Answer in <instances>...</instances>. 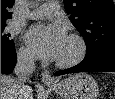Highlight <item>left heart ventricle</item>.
<instances>
[{
	"mask_svg": "<svg viewBox=\"0 0 115 99\" xmlns=\"http://www.w3.org/2000/svg\"><path fill=\"white\" fill-rule=\"evenodd\" d=\"M75 51H76V45L67 39L58 59H68L74 55Z\"/></svg>",
	"mask_w": 115,
	"mask_h": 99,
	"instance_id": "1",
	"label": "left heart ventricle"
}]
</instances>
